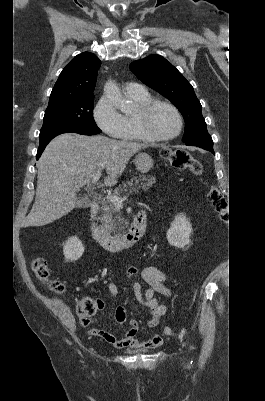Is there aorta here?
<instances>
[{
	"label": "aorta",
	"mask_w": 265,
	"mask_h": 401,
	"mask_svg": "<svg viewBox=\"0 0 265 401\" xmlns=\"http://www.w3.org/2000/svg\"><path fill=\"white\" fill-rule=\"evenodd\" d=\"M104 94L107 98L112 100L116 108H119V110H126L127 102L124 100L123 94H121L120 88L115 80H108V82H105Z\"/></svg>",
	"instance_id": "1"
}]
</instances>
